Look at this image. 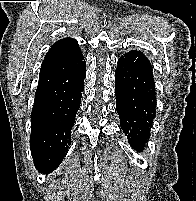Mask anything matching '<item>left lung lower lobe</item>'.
<instances>
[{
	"instance_id": "1",
	"label": "left lung lower lobe",
	"mask_w": 196,
	"mask_h": 201,
	"mask_svg": "<svg viewBox=\"0 0 196 201\" xmlns=\"http://www.w3.org/2000/svg\"><path fill=\"white\" fill-rule=\"evenodd\" d=\"M117 64L115 95L121 129L130 146L140 152L150 137L156 112L152 66L137 50L121 56Z\"/></svg>"
}]
</instances>
